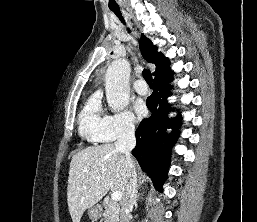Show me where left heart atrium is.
<instances>
[{
	"label": "left heart atrium",
	"instance_id": "39dd6f15",
	"mask_svg": "<svg viewBox=\"0 0 257 222\" xmlns=\"http://www.w3.org/2000/svg\"><path fill=\"white\" fill-rule=\"evenodd\" d=\"M134 108H135L136 115L139 119L146 116L147 108H146V105L144 104V102H142V101L136 102Z\"/></svg>",
	"mask_w": 257,
	"mask_h": 222
}]
</instances>
